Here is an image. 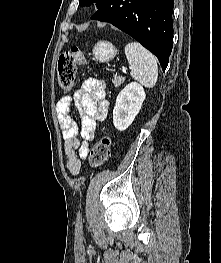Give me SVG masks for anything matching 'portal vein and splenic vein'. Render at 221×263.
<instances>
[{"mask_svg":"<svg viewBox=\"0 0 221 263\" xmlns=\"http://www.w3.org/2000/svg\"><path fill=\"white\" fill-rule=\"evenodd\" d=\"M122 71H123L124 73H126V68H125V67H122Z\"/></svg>","mask_w":221,"mask_h":263,"instance_id":"1","label":"portal vein and splenic vein"}]
</instances>
